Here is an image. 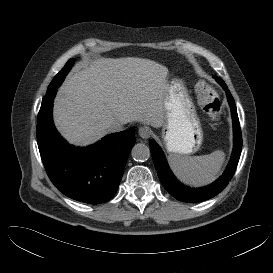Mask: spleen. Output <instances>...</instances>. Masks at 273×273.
<instances>
[{
	"label": "spleen",
	"instance_id": "3e777b00",
	"mask_svg": "<svg viewBox=\"0 0 273 273\" xmlns=\"http://www.w3.org/2000/svg\"><path fill=\"white\" fill-rule=\"evenodd\" d=\"M224 159L225 154L221 150L200 156L171 154L168 158L175 176L190 186L206 185L214 181Z\"/></svg>",
	"mask_w": 273,
	"mask_h": 273
}]
</instances>
